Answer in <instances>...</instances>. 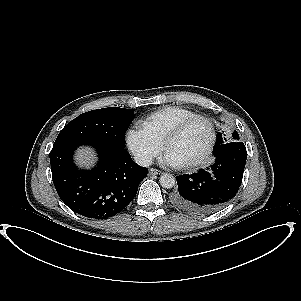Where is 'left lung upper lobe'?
Returning a JSON list of instances; mask_svg holds the SVG:
<instances>
[{
    "label": "left lung upper lobe",
    "mask_w": 301,
    "mask_h": 301,
    "mask_svg": "<svg viewBox=\"0 0 301 301\" xmlns=\"http://www.w3.org/2000/svg\"><path fill=\"white\" fill-rule=\"evenodd\" d=\"M232 135H233L234 141H238L239 140V135H238V133L236 131H234ZM224 145H225V142L223 141L222 134L219 132L218 133V139H217V144H216L215 150H218L219 148H221Z\"/></svg>",
    "instance_id": "1"
}]
</instances>
